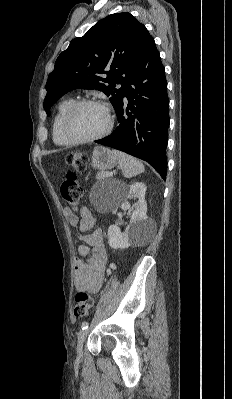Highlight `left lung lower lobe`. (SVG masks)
Returning <instances> with one entry per match:
<instances>
[{"instance_id":"1","label":"left lung lower lobe","mask_w":232,"mask_h":399,"mask_svg":"<svg viewBox=\"0 0 232 399\" xmlns=\"http://www.w3.org/2000/svg\"><path fill=\"white\" fill-rule=\"evenodd\" d=\"M168 107L165 69L152 39L127 80L123 99L116 110L118 127L111 135L95 142L148 162L165 180Z\"/></svg>"}]
</instances>
